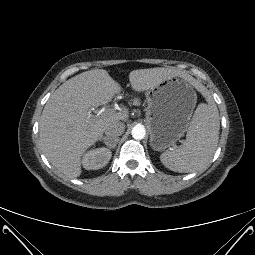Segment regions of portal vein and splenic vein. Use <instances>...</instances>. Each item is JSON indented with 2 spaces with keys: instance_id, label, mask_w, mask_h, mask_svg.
<instances>
[{
  "instance_id": "portal-vein-and-splenic-vein-1",
  "label": "portal vein and splenic vein",
  "mask_w": 255,
  "mask_h": 255,
  "mask_svg": "<svg viewBox=\"0 0 255 255\" xmlns=\"http://www.w3.org/2000/svg\"><path fill=\"white\" fill-rule=\"evenodd\" d=\"M112 113H113L112 111L106 110V111H104L103 115L108 116V115H111Z\"/></svg>"
}]
</instances>
